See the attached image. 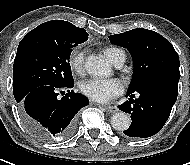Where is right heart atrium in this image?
Returning a JSON list of instances; mask_svg holds the SVG:
<instances>
[{
	"label": "right heart atrium",
	"mask_w": 190,
	"mask_h": 165,
	"mask_svg": "<svg viewBox=\"0 0 190 165\" xmlns=\"http://www.w3.org/2000/svg\"><path fill=\"white\" fill-rule=\"evenodd\" d=\"M85 52L82 50H75L71 53L69 64L73 71L81 74L84 70Z\"/></svg>",
	"instance_id": "1"
}]
</instances>
